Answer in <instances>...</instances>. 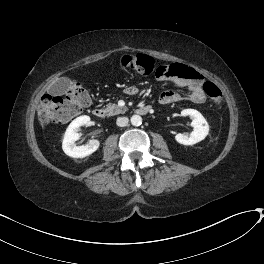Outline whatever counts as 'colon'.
Masks as SVG:
<instances>
[{
	"label": "colon",
	"mask_w": 264,
	"mask_h": 264,
	"mask_svg": "<svg viewBox=\"0 0 264 264\" xmlns=\"http://www.w3.org/2000/svg\"><path fill=\"white\" fill-rule=\"evenodd\" d=\"M120 65L125 70H133L145 75L155 74L157 77L172 75L170 66L157 65L151 57L143 54L124 55L120 60ZM203 89L214 105L220 106L223 103V94L215 83L205 81ZM89 103V89L78 82L61 96L49 94L43 96L39 115L43 122L63 124L78 116Z\"/></svg>",
	"instance_id": "1"
}]
</instances>
